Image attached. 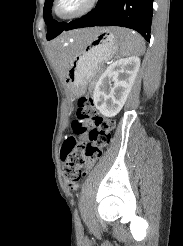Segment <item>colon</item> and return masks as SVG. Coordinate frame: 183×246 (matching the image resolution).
<instances>
[{
	"label": "colon",
	"mask_w": 183,
	"mask_h": 246,
	"mask_svg": "<svg viewBox=\"0 0 183 246\" xmlns=\"http://www.w3.org/2000/svg\"><path fill=\"white\" fill-rule=\"evenodd\" d=\"M113 128L114 121L97 113L90 96L79 98L73 130L75 134L85 135L86 139L78 141L69 138L61 148V159L64 162L63 178L69 189H75L77 182L85 177L101 158L110 142Z\"/></svg>",
	"instance_id": "1"
}]
</instances>
